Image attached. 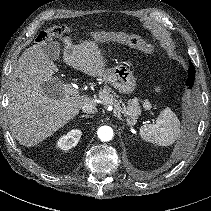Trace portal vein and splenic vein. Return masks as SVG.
I'll list each match as a JSON object with an SVG mask.
<instances>
[{
    "instance_id": "portal-vein-and-splenic-vein-1",
    "label": "portal vein and splenic vein",
    "mask_w": 211,
    "mask_h": 211,
    "mask_svg": "<svg viewBox=\"0 0 211 211\" xmlns=\"http://www.w3.org/2000/svg\"><path fill=\"white\" fill-rule=\"evenodd\" d=\"M65 93L72 95V96H79V91L75 88H72L71 86L65 85L64 87Z\"/></svg>"
}]
</instances>
